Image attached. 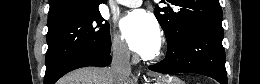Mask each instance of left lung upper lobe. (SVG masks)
<instances>
[{"instance_id":"obj_1","label":"left lung upper lobe","mask_w":260,"mask_h":84,"mask_svg":"<svg viewBox=\"0 0 260 84\" xmlns=\"http://www.w3.org/2000/svg\"><path fill=\"white\" fill-rule=\"evenodd\" d=\"M168 2L176 6V12L171 7L156 6L154 10V14L165 32L168 45H172L192 23L222 22L223 15L219 0H170Z\"/></svg>"}]
</instances>
